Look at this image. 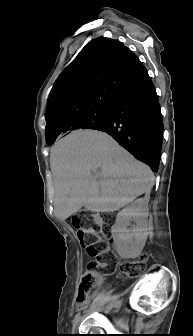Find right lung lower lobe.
I'll return each instance as SVG.
<instances>
[{
	"label": "right lung lower lobe",
	"mask_w": 193,
	"mask_h": 336,
	"mask_svg": "<svg viewBox=\"0 0 193 336\" xmlns=\"http://www.w3.org/2000/svg\"><path fill=\"white\" fill-rule=\"evenodd\" d=\"M99 130L112 136L152 171L158 170L163 122L155 87L143 64L114 98L106 124Z\"/></svg>",
	"instance_id": "1"
}]
</instances>
